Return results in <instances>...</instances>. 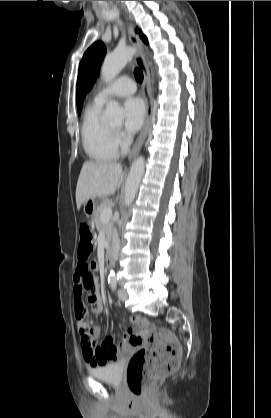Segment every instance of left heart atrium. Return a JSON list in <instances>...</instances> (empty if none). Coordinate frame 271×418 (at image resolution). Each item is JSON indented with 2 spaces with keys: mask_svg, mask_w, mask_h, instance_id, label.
Masks as SVG:
<instances>
[{
  "mask_svg": "<svg viewBox=\"0 0 271 418\" xmlns=\"http://www.w3.org/2000/svg\"><path fill=\"white\" fill-rule=\"evenodd\" d=\"M125 129L128 133H136L143 125L146 109L140 98H130L125 102Z\"/></svg>",
  "mask_w": 271,
  "mask_h": 418,
  "instance_id": "obj_1",
  "label": "left heart atrium"
}]
</instances>
